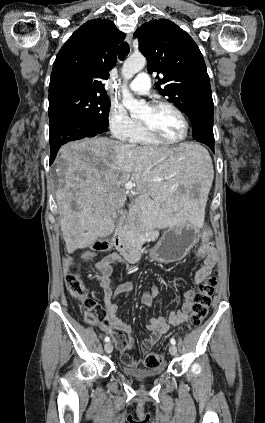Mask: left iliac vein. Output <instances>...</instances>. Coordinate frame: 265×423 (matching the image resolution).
I'll return each instance as SVG.
<instances>
[{"label": "left iliac vein", "mask_w": 265, "mask_h": 423, "mask_svg": "<svg viewBox=\"0 0 265 423\" xmlns=\"http://www.w3.org/2000/svg\"><path fill=\"white\" fill-rule=\"evenodd\" d=\"M169 352L172 356H175L177 354V347L175 345H170Z\"/></svg>", "instance_id": "obj_1"}]
</instances>
